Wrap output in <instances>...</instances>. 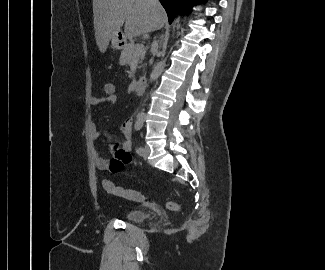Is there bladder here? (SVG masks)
<instances>
[{
  "label": "bladder",
  "mask_w": 325,
  "mask_h": 270,
  "mask_svg": "<svg viewBox=\"0 0 325 270\" xmlns=\"http://www.w3.org/2000/svg\"><path fill=\"white\" fill-rule=\"evenodd\" d=\"M147 218V213L140 209H132L125 215V219L129 222H141Z\"/></svg>",
  "instance_id": "obj_1"
}]
</instances>
